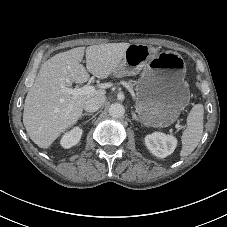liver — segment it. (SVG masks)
I'll use <instances>...</instances> for the list:
<instances>
[{"label": "liver", "instance_id": "6515ba94", "mask_svg": "<svg viewBox=\"0 0 227 227\" xmlns=\"http://www.w3.org/2000/svg\"><path fill=\"white\" fill-rule=\"evenodd\" d=\"M129 43H108L77 47L56 54L42 64L29 89L23 112V124L31 140L40 148H48L82 115L85 102L105 96L103 89L74 98L65 92L72 83L82 84L93 76L105 79L121 63ZM86 57V68L81 61ZM89 72V73H88Z\"/></svg>", "mask_w": 227, "mask_h": 227}]
</instances>
